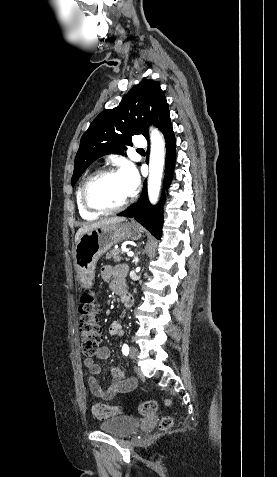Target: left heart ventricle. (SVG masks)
Returning <instances> with one entry per match:
<instances>
[{"label": "left heart ventricle", "instance_id": "1", "mask_svg": "<svg viewBox=\"0 0 277 477\" xmlns=\"http://www.w3.org/2000/svg\"><path fill=\"white\" fill-rule=\"evenodd\" d=\"M128 194L119 173L98 180L90 191V199L102 207H115L121 204Z\"/></svg>", "mask_w": 277, "mask_h": 477}]
</instances>
